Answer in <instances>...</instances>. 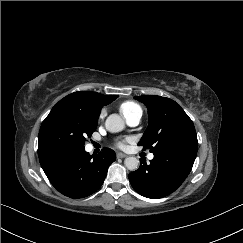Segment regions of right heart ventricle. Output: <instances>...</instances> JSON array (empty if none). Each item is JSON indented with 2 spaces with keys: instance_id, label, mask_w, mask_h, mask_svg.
Returning <instances> with one entry per match:
<instances>
[{
  "instance_id": "right-heart-ventricle-1",
  "label": "right heart ventricle",
  "mask_w": 243,
  "mask_h": 243,
  "mask_svg": "<svg viewBox=\"0 0 243 243\" xmlns=\"http://www.w3.org/2000/svg\"><path fill=\"white\" fill-rule=\"evenodd\" d=\"M140 110V106L132 101H126L120 105V112L125 117V119Z\"/></svg>"
}]
</instances>
